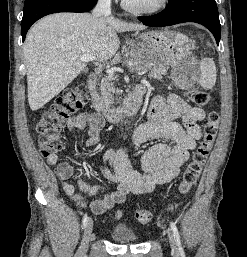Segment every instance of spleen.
Returning a JSON list of instances; mask_svg holds the SVG:
<instances>
[{
  "label": "spleen",
  "instance_id": "3e777b00",
  "mask_svg": "<svg viewBox=\"0 0 247 257\" xmlns=\"http://www.w3.org/2000/svg\"><path fill=\"white\" fill-rule=\"evenodd\" d=\"M209 44V43H208ZM216 66L212 59L205 58L200 62L199 84L205 89H212L216 83Z\"/></svg>",
  "mask_w": 247,
  "mask_h": 257
}]
</instances>
